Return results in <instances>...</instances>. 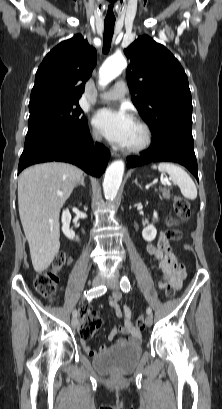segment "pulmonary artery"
Segmentation results:
<instances>
[{"label": "pulmonary artery", "mask_w": 222, "mask_h": 409, "mask_svg": "<svg viewBox=\"0 0 222 409\" xmlns=\"http://www.w3.org/2000/svg\"><path fill=\"white\" fill-rule=\"evenodd\" d=\"M127 93V86L123 81H118L109 91L102 95L104 101L121 100Z\"/></svg>", "instance_id": "1"}]
</instances>
